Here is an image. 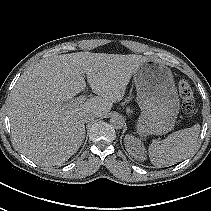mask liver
<instances>
[{
    "instance_id": "liver-1",
    "label": "liver",
    "mask_w": 211,
    "mask_h": 211,
    "mask_svg": "<svg viewBox=\"0 0 211 211\" xmlns=\"http://www.w3.org/2000/svg\"><path fill=\"white\" fill-rule=\"evenodd\" d=\"M141 55L77 52L54 56L28 68L9 99L13 142L41 166L62 165L79 149L85 134L83 116H105L123 99ZM98 96L60 107L85 87L83 75Z\"/></svg>"
}]
</instances>
